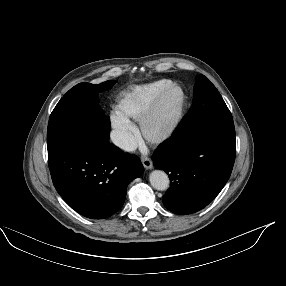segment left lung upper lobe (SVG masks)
Instances as JSON below:
<instances>
[{
  "label": "left lung upper lobe",
  "mask_w": 286,
  "mask_h": 286,
  "mask_svg": "<svg viewBox=\"0 0 286 286\" xmlns=\"http://www.w3.org/2000/svg\"><path fill=\"white\" fill-rule=\"evenodd\" d=\"M209 131H235L232 115L215 86L204 75L196 78L193 104L173 133L180 139Z\"/></svg>",
  "instance_id": "5c2ea615"
}]
</instances>
